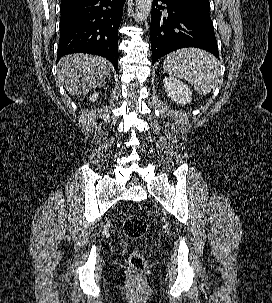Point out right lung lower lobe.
<instances>
[{
  "label": "right lung lower lobe",
  "instance_id": "98d812e1",
  "mask_svg": "<svg viewBox=\"0 0 272 303\" xmlns=\"http://www.w3.org/2000/svg\"><path fill=\"white\" fill-rule=\"evenodd\" d=\"M125 0H82L61 8L57 61L65 54L91 53L118 67V28Z\"/></svg>",
  "mask_w": 272,
  "mask_h": 303
}]
</instances>
